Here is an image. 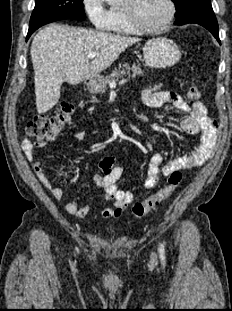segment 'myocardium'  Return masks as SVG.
Segmentation results:
<instances>
[{"label": "myocardium", "mask_w": 232, "mask_h": 311, "mask_svg": "<svg viewBox=\"0 0 232 311\" xmlns=\"http://www.w3.org/2000/svg\"><path fill=\"white\" fill-rule=\"evenodd\" d=\"M128 2H132V0H126ZM168 5V14L166 18L157 26L155 27H146L140 24L134 14L133 7L131 5H124L123 10L126 16V19L130 25V27L138 33L142 34H154L159 33L165 30L173 21L176 13V7L173 0H165Z\"/></svg>", "instance_id": "obj_1"}]
</instances>
